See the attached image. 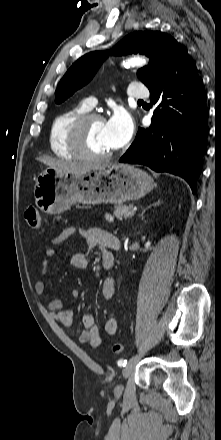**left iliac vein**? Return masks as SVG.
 Masks as SVG:
<instances>
[{
  "label": "left iliac vein",
  "mask_w": 221,
  "mask_h": 440,
  "mask_svg": "<svg viewBox=\"0 0 221 440\" xmlns=\"http://www.w3.org/2000/svg\"><path fill=\"white\" fill-rule=\"evenodd\" d=\"M133 368H134V362L130 361L122 370L123 378H128L130 376V374L132 373ZM122 390H123V387L121 385H118L115 388V395L120 396L122 393Z\"/></svg>",
  "instance_id": "1"
}]
</instances>
